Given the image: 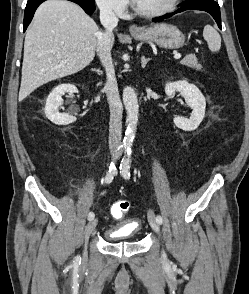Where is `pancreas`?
Returning a JSON list of instances; mask_svg holds the SVG:
<instances>
[{
	"mask_svg": "<svg viewBox=\"0 0 249 294\" xmlns=\"http://www.w3.org/2000/svg\"><path fill=\"white\" fill-rule=\"evenodd\" d=\"M182 65L194 68L196 70H201L202 66L198 63L195 55H189L185 57L181 62Z\"/></svg>",
	"mask_w": 249,
	"mask_h": 294,
	"instance_id": "1",
	"label": "pancreas"
}]
</instances>
